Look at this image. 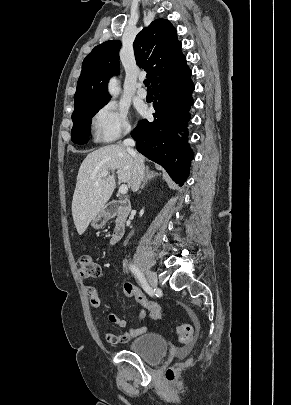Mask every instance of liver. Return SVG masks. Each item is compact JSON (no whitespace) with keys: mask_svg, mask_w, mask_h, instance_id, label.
<instances>
[{"mask_svg":"<svg viewBox=\"0 0 291 405\" xmlns=\"http://www.w3.org/2000/svg\"><path fill=\"white\" fill-rule=\"evenodd\" d=\"M138 156L144 162L145 158ZM109 170H117L118 180L131 187L132 157L121 145H107L89 153L79 168L72 200V216L79 235L104 208L115 189L113 176L99 178V174Z\"/></svg>","mask_w":291,"mask_h":405,"instance_id":"1","label":"liver"}]
</instances>
